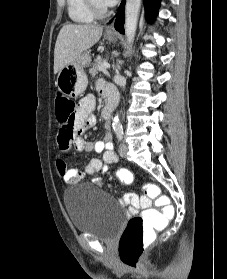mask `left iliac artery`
Returning a JSON list of instances; mask_svg holds the SVG:
<instances>
[{
	"mask_svg": "<svg viewBox=\"0 0 227 279\" xmlns=\"http://www.w3.org/2000/svg\"><path fill=\"white\" fill-rule=\"evenodd\" d=\"M116 134H117L118 140L121 141L122 138H123V130L122 129H117Z\"/></svg>",
	"mask_w": 227,
	"mask_h": 279,
	"instance_id": "left-iliac-artery-1",
	"label": "left iliac artery"
}]
</instances>
